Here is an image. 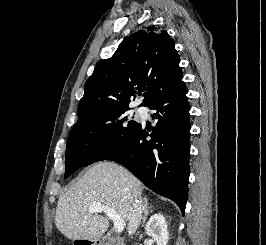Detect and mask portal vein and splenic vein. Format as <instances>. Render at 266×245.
I'll use <instances>...</instances> for the list:
<instances>
[{
    "instance_id": "1",
    "label": "portal vein and splenic vein",
    "mask_w": 266,
    "mask_h": 245,
    "mask_svg": "<svg viewBox=\"0 0 266 245\" xmlns=\"http://www.w3.org/2000/svg\"><path fill=\"white\" fill-rule=\"evenodd\" d=\"M90 211H92V213H105V215L113 221L115 233H122L125 227L124 221L117 215L114 209L106 207V205H101V203H92V205H90Z\"/></svg>"
}]
</instances>
